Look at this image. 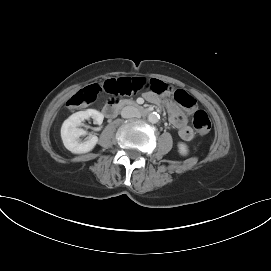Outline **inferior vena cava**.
<instances>
[{
  "instance_id": "1",
  "label": "inferior vena cava",
  "mask_w": 271,
  "mask_h": 271,
  "mask_svg": "<svg viewBox=\"0 0 271 271\" xmlns=\"http://www.w3.org/2000/svg\"><path fill=\"white\" fill-rule=\"evenodd\" d=\"M121 116L123 118H132V117H139L140 114L138 110L133 106H126L121 111Z\"/></svg>"
}]
</instances>
